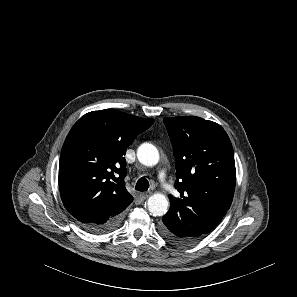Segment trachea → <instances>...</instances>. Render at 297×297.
<instances>
[{"label":"trachea","mask_w":297,"mask_h":297,"mask_svg":"<svg viewBox=\"0 0 297 297\" xmlns=\"http://www.w3.org/2000/svg\"><path fill=\"white\" fill-rule=\"evenodd\" d=\"M148 188H149V181L145 177L140 178L137 181L135 186V189L137 191H146L148 190Z\"/></svg>","instance_id":"trachea-1"}]
</instances>
